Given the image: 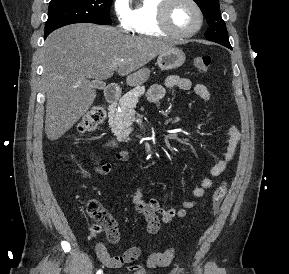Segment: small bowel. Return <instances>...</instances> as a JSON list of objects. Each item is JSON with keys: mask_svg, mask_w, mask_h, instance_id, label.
Listing matches in <instances>:
<instances>
[{"mask_svg": "<svg viewBox=\"0 0 289 274\" xmlns=\"http://www.w3.org/2000/svg\"><path fill=\"white\" fill-rule=\"evenodd\" d=\"M177 88L180 90H193V92L204 101L210 100V92L208 88L201 83L195 85L187 78H182L177 75H170L166 78L163 85L155 84L150 87L148 98L152 101L161 100L166 93V89ZM240 140V131L232 125L229 128V138L226 145V150L222 160L215 163L209 170L212 177L221 175L227 168L230 161L233 159ZM128 153L126 151H117L114 156V161L107 162L96 166V172L101 175L110 173L117 162H125L128 160ZM213 186V181L210 178H204L192 190L194 199L183 200L179 207H172L158 198H151L149 201L145 200V184L139 186L133 196V205L137 213L141 214L147 223V232L150 235L156 234L160 228V224L169 223L174 218H184L188 210L195 208L198 205L199 199L203 197L206 192ZM119 239V233L114 236H108L111 243H116ZM96 255L99 261L107 268H120L125 264H129L138 259L141 254L139 247H131L120 255H110L104 243H98L95 247Z\"/></svg>", "mask_w": 289, "mask_h": 274, "instance_id": "1", "label": "small bowel"}]
</instances>
